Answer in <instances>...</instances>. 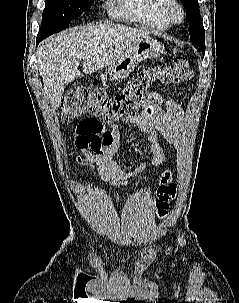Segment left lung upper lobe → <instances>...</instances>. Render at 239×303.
Segmentation results:
<instances>
[{
	"instance_id": "5c2ea615",
	"label": "left lung upper lobe",
	"mask_w": 239,
	"mask_h": 303,
	"mask_svg": "<svg viewBox=\"0 0 239 303\" xmlns=\"http://www.w3.org/2000/svg\"><path fill=\"white\" fill-rule=\"evenodd\" d=\"M186 9V17L189 20L190 40L197 44L205 54V30L201 23L198 0H180Z\"/></svg>"
}]
</instances>
